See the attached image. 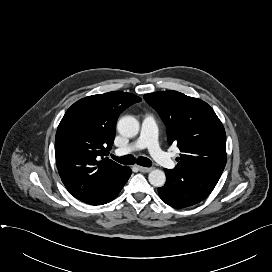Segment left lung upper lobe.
Returning <instances> with one entry per match:
<instances>
[{
  "label": "left lung upper lobe",
  "instance_id": "1",
  "mask_svg": "<svg viewBox=\"0 0 272 272\" xmlns=\"http://www.w3.org/2000/svg\"><path fill=\"white\" fill-rule=\"evenodd\" d=\"M144 99L160 115L169 143L181 151L174 170H192L221 176L226 165L224 127L204 101L177 91L145 94Z\"/></svg>",
  "mask_w": 272,
  "mask_h": 272
}]
</instances>
